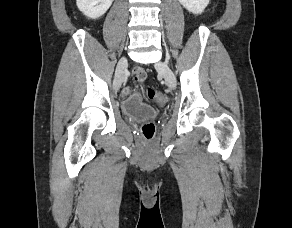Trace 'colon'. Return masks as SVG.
<instances>
[{
  "mask_svg": "<svg viewBox=\"0 0 292 228\" xmlns=\"http://www.w3.org/2000/svg\"><path fill=\"white\" fill-rule=\"evenodd\" d=\"M147 96L149 100L157 106H163L167 101V96L163 92L155 90L153 88H149L147 90ZM155 132V124L152 122H146L141 127L142 136L147 141H151L154 138Z\"/></svg>",
  "mask_w": 292,
  "mask_h": 228,
  "instance_id": "5ec220e1",
  "label": "colon"
}]
</instances>
